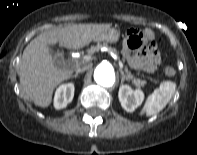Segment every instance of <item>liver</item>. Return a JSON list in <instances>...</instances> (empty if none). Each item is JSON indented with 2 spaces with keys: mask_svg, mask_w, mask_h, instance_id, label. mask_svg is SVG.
Listing matches in <instances>:
<instances>
[{
  "mask_svg": "<svg viewBox=\"0 0 197 155\" xmlns=\"http://www.w3.org/2000/svg\"><path fill=\"white\" fill-rule=\"evenodd\" d=\"M110 27L111 24H73L51 29L34 38L24 49L19 65L24 95L37 106H49L55 88L71 77L72 70L64 64L56 67L48 46L59 43L67 49H80Z\"/></svg>",
  "mask_w": 197,
  "mask_h": 155,
  "instance_id": "6515ba94",
  "label": "liver"
}]
</instances>
